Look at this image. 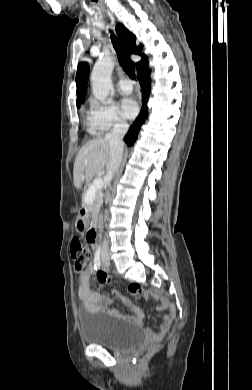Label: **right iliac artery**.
<instances>
[{
  "label": "right iliac artery",
  "instance_id": "82829eb1",
  "mask_svg": "<svg viewBox=\"0 0 252 390\" xmlns=\"http://www.w3.org/2000/svg\"><path fill=\"white\" fill-rule=\"evenodd\" d=\"M100 253H101V249L99 247L97 249L96 253H95V256H94V267H95V269H99L100 266H101Z\"/></svg>",
  "mask_w": 252,
  "mask_h": 390
}]
</instances>
